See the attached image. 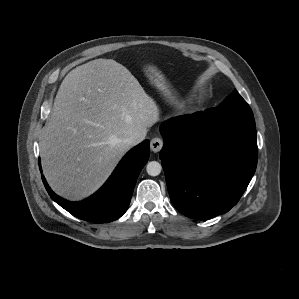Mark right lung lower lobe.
Segmentation results:
<instances>
[{
	"instance_id": "obj_1",
	"label": "right lung lower lobe",
	"mask_w": 299,
	"mask_h": 299,
	"mask_svg": "<svg viewBox=\"0 0 299 299\" xmlns=\"http://www.w3.org/2000/svg\"><path fill=\"white\" fill-rule=\"evenodd\" d=\"M150 156V141L145 140L130 150L120 161L108 181L88 199L72 203L57 196L42 180L50 197L72 215L94 223L111 222L127 210L135 183ZM40 170L41 165L39 164Z\"/></svg>"
}]
</instances>
